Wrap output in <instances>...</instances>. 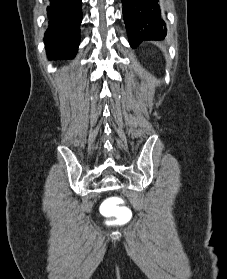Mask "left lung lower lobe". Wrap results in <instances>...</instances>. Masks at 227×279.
<instances>
[{
    "instance_id": "obj_1",
    "label": "left lung lower lobe",
    "mask_w": 227,
    "mask_h": 279,
    "mask_svg": "<svg viewBox=\"0 0 227 279\" xmlns=\"http://www.w3.org/2000/svg\"><path fill=\"white\" fill-rule=\"evenodd\" d=\"M129 43L135 48L145 40H162L166 36L158 0H121Z\"/></svg>"
}]
</instances>
